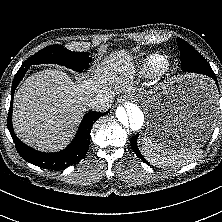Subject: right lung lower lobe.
Here are the masks:
<instances>
[{"instance_id": "1", "label": "right lung lower lobe", "mask_w": 222, "mask_h": 222, "mask_svg": "<svg viewBox=\"0 0 222 222\" xmlns=\"http://www.w3.org/2000/svg\"><path fill=\"white\" fill-rule=\"evenodd\" d=\"M29 66L30 65L23 63L14 77L12 84V91H11V103L7 119L8 129L16 145V149L19 155L24 160L41 168H46L50 170H61L66 168L67 166L79 162L82 158H84L90 145V137H91L90 131L92 129V126L97 121V119H99L105 113L95 112V111L88 112L84 116L73 141L64 150L60 152L45 153V152L36 151L31 147L25 145L14 134L11 118H12V107H13V96L15 89L18 83L24 77Z\"/></svg>"}]
</instances>
